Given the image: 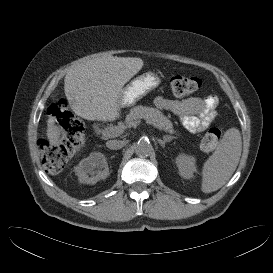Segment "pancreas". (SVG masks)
I'll return each mask as SVG.
<instances>
[{"label": "pancreas", "instance_id": "pancreas-1", "mask_svg": "<svg viewBox=\"0 0 273 273\" xmlns=\"http://www.w3.org/2000/svg\"><path fill=\"white\" fill-rule=\"evenodd\" d=\"M145 119L148 124L154 127L169 132L171 134L176 133L173 129L172 122L158 109L153 107H146L138 105L130 110V113L126 117V126H118L123 130L126 127H132L137 123L138 120Z\"/></svg>", "mask_w": 273, "mask_h": 273}]
</instances>
